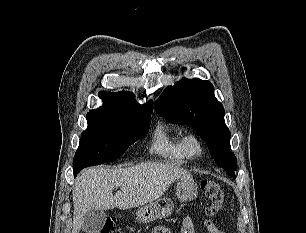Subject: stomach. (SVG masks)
Instances as JSON below:
<instances>
[{"label": "stomach", "mask_w": 306, "mask_h": 233, "mask_svg": "<svg viewBox=\"0 0 306 233\" xmlns=\"http://www.w3.org/2000/svg\"><path fill=\"white\" fill-rule=\"evenodd\" d=\"M198 187L193 178L180 179L176 185L177 198L182 202L192 201L197 197ZM174 209L172 200L168 197L159 198L136 212V218L141 223H148L157 219L166 218Z\"/></svg>", "instance_id": "0dacf381"}]
</instances>
